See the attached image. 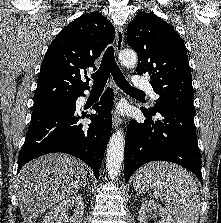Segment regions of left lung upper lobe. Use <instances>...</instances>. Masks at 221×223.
<instances>
[{
    "mask_svg": "<svg viewBox=\"0 0 221 223\" xmlns=\"http://www.w3.org/2000/svg\"><path fill=\"white\" fill-rule=\"evenodd\" d=\"M127 42L138 54L137 74L148 73L160 96L149 110L178 106L195 112L187 52L174 28L154 13L140 12L128 25Z\"/></svg>",
    "mask_w": 221,
    "mask_h": 223,
    "instance_id": "obj_1",
    "label": "left lung upper lobe"
}]
</instances>
